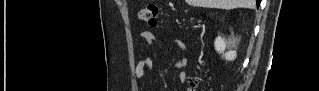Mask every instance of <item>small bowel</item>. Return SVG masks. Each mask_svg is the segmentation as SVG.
<instances>
[{"label": "small bowel", "mask_w": 319, "mask_h": 91, "mask_svg": "<svg viewBox=\"0 0 319 91\" xmlns=\"http://www.w3.org/2000/svg\"><path fill=\"white\" fill-rule=\"evenodd\" d=\"M141 37L143 42L146 45L152 46L155 42V35L151 31L142 32ZM173 45L181 51H185L187 48L185 42L180 39L173 40ZM153 62L154 61L152 57H145L141 59L135 68L136 76L139 79L143 78L146 72L152 68ZM187 64H188V59L186 57L180 58L176 60L174 63V67L180 70L178 74V79L182 84H184L187 80V74L184 71V68L187 66Z\"/></svg>", "instance_id": "1"}]
</instances>
